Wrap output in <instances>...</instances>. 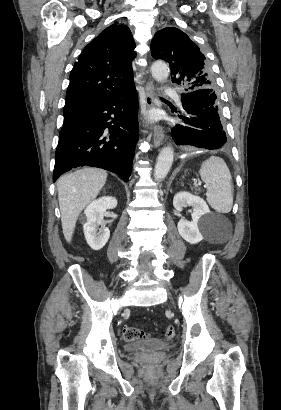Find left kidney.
<instances>
[{
  "instance_id": "left-kidney-1",
  "label": "left kidney",
  "mask_w": 281,
  "mask_h": 410,
  "mask_svg": "<svg viewBox=\"0 0 281 410\" xmlns=\"http://www.w3.org/2000/svg\"><path fill=\"white\" fill-rule=\"evenodd\" d=\"M173 206L177 211H182L186 206L193 207L192 222L181 219L177 225L178 232L190 244L201 242L202 232L211 223V212L206 202L199 196L183 191L174 196Z\"/></svg>"
}]
</instances>
